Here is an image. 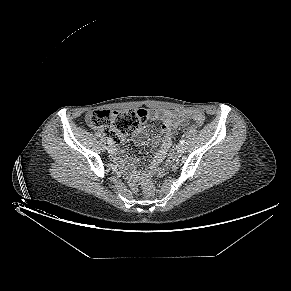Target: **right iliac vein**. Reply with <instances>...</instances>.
I'll return each mask as SVG.
<instances>
[{"mask_svg": "<svg viewBox=\"0 0 291 291\" xmlns=\"http://www.w3.org/2000/svg\"><path fill=\"white\" fill-rule=\"evenodd\" d=\"M107 150H108L109 153L113 154L116 149H115V147L113 145H110V146L107 147Z\"/></svg>", "mask_w": 291, "mask_h": 291, "instance_id": "obj_1", "label": "right iliac vein"}]
</instances>
